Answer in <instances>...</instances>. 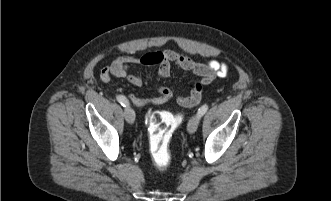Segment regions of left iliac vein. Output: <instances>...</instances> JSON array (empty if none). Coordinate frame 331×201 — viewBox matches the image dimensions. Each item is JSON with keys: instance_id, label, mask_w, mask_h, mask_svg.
<instances>
[{"instance_id": "1", "label": "left iliac vein", "mask_w": 331, "mask_h": 201, "mask_svg": "<svg viewBox=\"0 0 331 201\" xmlns=\"http://www.w3.org/2000/svg\"><path fill=\"white\" fill-rule=\"evenodd\" d=\"M200 118H201L200 115L197 113L189 120L187 125V130L190 134L194 133L197 130L200 122Z\"/></svg>"}]
</instances>
